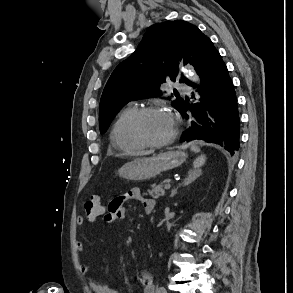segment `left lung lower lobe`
Wrapping results in <instances>:
<instances>
[{"label":"left lung lower lobe","instance_id":"left-lung-lower-lobe-1","mask_svg":"<svg viewBox=\"0 0 293 293\" xmlns=\"http://www.w3.org/2000/svg\"><path fill=\"white\" fill-rule=\"evenodd\" d=\"M200 84L178 107L185 117L192 119L191 127L182 140L202 139L216 143L234 154L239 149V114L237 98L227 67L211 40L208 41L200 66Z\"/></svg>","mask_w":293,"mask_h":293}]
</instances>
